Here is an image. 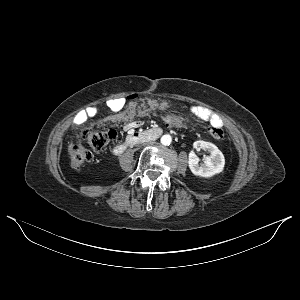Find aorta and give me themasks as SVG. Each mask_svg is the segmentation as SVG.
Segmentation results:
<instances>
[{
    "label": "aorta",
    "instance_id": "obj_1",
    "mask_svg": "<svg viewBox=\"0 0 300 300\" xmlns=\"http://www.w3.org/2000/svg\"><path fill=\"white\" fill-rule=\"evenodd\" d=\"M161 143L165 146L170 145L172 142V138L169 134H165L161 137Z\"/></svg>",
    "mask_w": 300,
    "mask_h": 300
}]
</instances>
